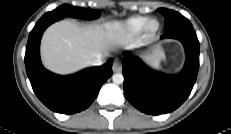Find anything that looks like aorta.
<instances>
[{
	"label": "aorta",
	"mask_w": 231,
	"mask_h": 134,
	"mask_svg": "<svg viewBox=\"0 0 231 134\" xmlns=\"http://www.w3.org/2000/svg\"><path fill=\"white\" fill-rule=\"evenodd\" d=\"M112 80L115 84H122L124 81V77L121 73H116L112 76Z\"/></svg>",
	"instance_id": "aorta-1"
}]
</instances>
